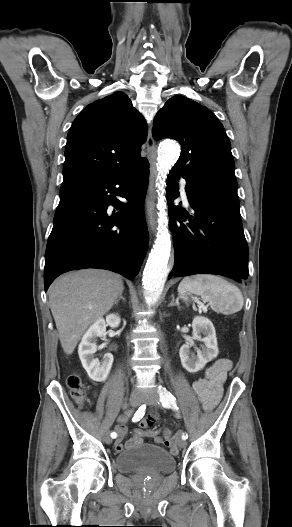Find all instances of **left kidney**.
Wrapping results in <instances>:
<instances>
[{
  "mask_svg": "<svg viewBox=\"0 0 292 527\" xmlns=\"http://www.w3.org/2000/svg\"><path fill=\"white\" fill-rule=\"evenodd\" d=\"M192 340L201 341L202 350L197 349V355L190 351L191 343L182 345L179 351L182 366L190 373H196L204 368L206 363L216 358L218 344L213 323L206 317L196 316L192 322ZM201 334L204 337H201Z\"/></svg>",
  "mask_w": 292,
  "mask_h": 527,
  "instance_id": "left-kidney-1",
  "label": "left kidney"
}]
</instances>
